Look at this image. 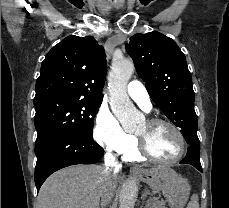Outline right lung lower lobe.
<instances>
[{"mask_svg":"<svg viewBox=\"0 0 229 208\" xmlns=\"http://www.w3.org/2000/svg\"><path fill=\"white\" fill-rule=\"evenodd\" d=\"M37 192L55 171L75 164H94L103 157V148L93 137L74 132H58L35 145Z\"/></svg>","mask_w":229,"mask_h":208,"instance_id":"right-lung-lower-lobe-1","label":"right lung lower lobe"}]
</instances>
